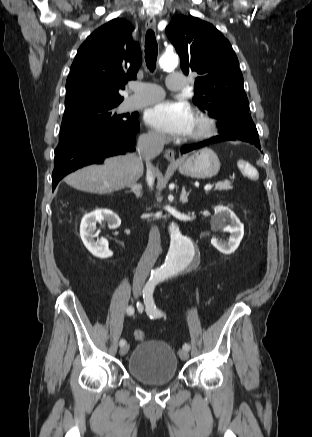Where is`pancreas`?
<instances>
[{
  "label": "pancreas",
  "instance_id": "obj_1",
  "mask_svg": "<svg viewBox=\"0 0 312 437\" xmlns=\"http://www.w3.org/2000/svg\"><path fill=\"white\" fill-rule=\"evenodd\" d=\"M215 189L219 190V191H222V190H231L232 186H231V183L229 181L219 182V183L216 184Z\"/></svg>",
  "mask_w": 312,
  "mask_h": 437
}]
</instances>
